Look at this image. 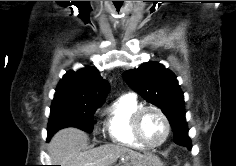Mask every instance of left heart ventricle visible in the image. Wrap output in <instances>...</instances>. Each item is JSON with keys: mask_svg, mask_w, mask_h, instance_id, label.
Listing matches in <instances>:
<instances>
[{"mask_svg": "<svg viewBox=\"0 0 236 166\" xmlns=\"http://www.w3.org/2000/svg\"><path fill=\"white\" fill-rule=\"evenodd\" d=\"M141 135L147 143L156 144L162 140L165 133L164 122L154 111H147L140 123Z\"/></svg>", "mask_w": 236, "mask_h": 166, "instance_id": "1", "label": "left heart ventricle"}]
</instances>
